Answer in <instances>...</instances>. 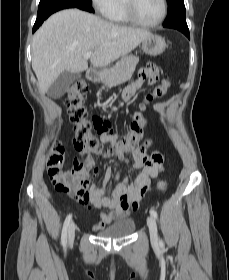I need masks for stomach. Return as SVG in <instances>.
<instances>
[{
    "mask_svg": "<svg viewBox=\"0 0 229 280\" xmlns=\"http://www.w3.org/2000/svg\"><path fill=\"white\" fill-rule=\"evenodd\" d=\"M165 48H166L165 40L158 35H150L149 37H147L142 41L143 52L151 56L160 55L161 53H163ZM99 80L104 83L106 77L102 75L99 77Z\"/></svg>",
    "mask_w": 229,
    "mask_h": 280,
    "instance_id": "0dacf381",
    "label": "stomach"
}]
</instances>
